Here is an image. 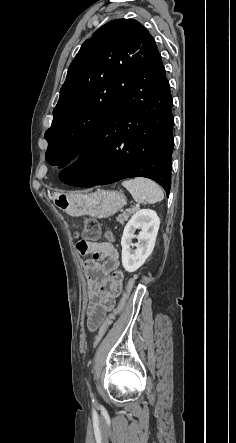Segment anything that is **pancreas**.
I'll use <instances>...</instances> for the list:
<instances>
[{
	"label": "pancreas",
	"instance_id": "cf45deb5",
	"mask_svg": "<svg viewBox=\"0 0 236 443\" xmlns=\"http://www.w3.org/2000/svg\"><path fill=\"white\" fill-rule=\"evenodd\" d=\"M136 211H138V208H137V207H133V208H129V209H127L125 212H123L122 214H120V215L117 217V219H116L117 222L123 224L125 221L128 220L129 216H130L131 214H134Z\"/></svg>",
	"mask_w": 236,
	"mask_h": 443
}]
</instances>
